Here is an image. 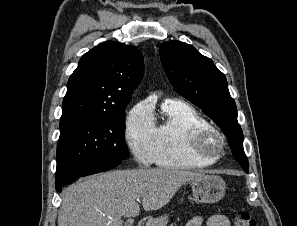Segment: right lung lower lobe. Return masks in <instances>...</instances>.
Returning a JSON list of instances; mask_svg holds the SVG:
<instances>
[{
	"mask_svg": "<svg viewBox=\"0 0 297 226\" xmlns=\"http://www.w3.org/2000/svg\"><path fill=\"white\" fill-rule=\"evenodd\" d=\"M120 163L115 160H95L56 170V190L62 192L63 186L75 181L77 178L110 170Z\"/></svg>",
	"mask_w": 297,
	"mask_h": 226,
	"instance_id": "1",
	"label": "right lung lower lobe"
}]
</instances>
